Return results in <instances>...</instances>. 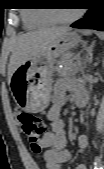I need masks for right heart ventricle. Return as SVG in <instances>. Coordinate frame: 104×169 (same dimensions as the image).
Returning <instances> with one entry per match:
<instances>
[{
    "mask_svg": "<svg viewBox=\"0 0 104 169\" xmlns=\"http://www.w3.org/2000/svg\"><path fill=\"white\" fill-rule=\"evenodd\" d=\"M23 23L26 28L34 29L51 25L53 22L42 12L32 11L22 14Z\"/></svg>",
    "mask_w": 104,
    "mask_h": 169,
    "instance_id": "1",
    "label": "right heart ventricle"
}]
</instances>
